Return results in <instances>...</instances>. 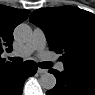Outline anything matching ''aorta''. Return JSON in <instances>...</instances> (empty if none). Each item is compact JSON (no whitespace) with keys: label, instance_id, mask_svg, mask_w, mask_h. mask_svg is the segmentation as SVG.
Returning <instances> with one entry per match:
<instances>
[{"label":"aorta","instance_id":"1","mask_svg":"<svg viewBox=\"0 0 95 95\" xmlns=\"http://www.w3.org/2000/svg\"><path fill=\"white\" fill-rule=\"evenodd\" d=\"M14 36L21 42H27L32 37V29L27 24H19L14 30ZM39 83L43 89L51 90L56 85V78L51 73H44L41 75Z\"/></svg>","mask_w":95,"mask_h":95}]
</instances>
